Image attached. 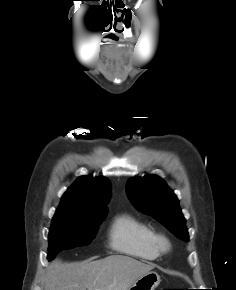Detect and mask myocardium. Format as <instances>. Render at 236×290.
<instances>
[{
	"label": "myocardium",
	"instance_id": "obj_1",
	"mask_svg": "<svg viewBox=\"0 0 236 290\" xmlns=\"http://www.w3.org/2000/svg\"><path fill=\"white\" fill-rule=\"evenodd\" d=\"M155 243L159 252H166L170 249V242L168 238L164 235H156Z\"/></svg>",
	"mask_w": 236,
	"mask_h": 290
}]
</instances>
